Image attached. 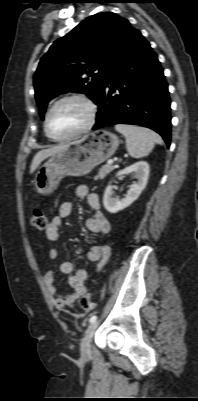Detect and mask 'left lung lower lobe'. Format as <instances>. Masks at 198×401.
Returning a JSON list of instances; mask_svg holds the SVG:
<instances>
[{"label": "left lung lower lobe", "mask_w": 198, "mask_h": 401, "mask_svg": "<svg viewBox=\"0 0 198 401\" xmlns=\"http://www.w3.org/2000/svg\"><path fill=\"white\" fill-rule=\"evenodd\" d=\"M97 105L92 129L113 124L141 125L159 133L170 146L167 83L156 53L139 31L112 68Z\"/></svg>", "instance_id": "obj_1"}]
</instances>
